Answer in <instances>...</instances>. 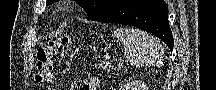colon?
<instances>
[{"mask_svg":"<svg viewBox=\"0 0 216 90\" xmlns=\"http://www.w3.org/2000/svg\"><path fill=\"white\" fill-rule=\"evenodd\" d=\"M69 45V37L66 35L49 40L39 47L36 53V74L38 83L47 82L51 78L53 62L63 53Z\"/></svg>","mask_w":216,"mask_h":90,"instance_id":"obj_1","label":"colon"}]
</instances>
